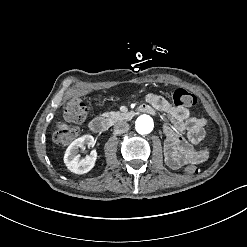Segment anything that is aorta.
Listing matches in <instances>:
<instances>
[{
  "label": "aorta",
  "mask_w": 247,
  "mask_h": 247,
  "mask_svg": "<svg viewBox=\"0 0 247 247\" xmlns=\"http://www.w3.org/2000/svg\"><path fill=\"white\" fill-rule=\"evenodd\" d=\"M135 126L138 133L149 134L154 128V122L149 115L143 114L137 118Z\"/></svg>",
  "instance_id": "762f6f07"
}]
</instances>
